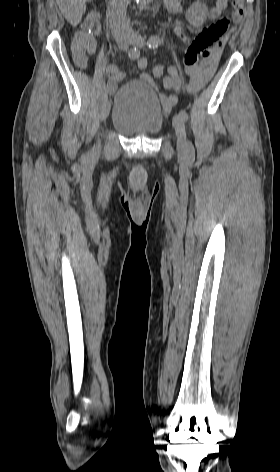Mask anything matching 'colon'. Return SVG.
Returning <instances> with one entry per match:
<instances>
[{"label":"colon","instance_id":"5ec220e1","mask_svg":"<svg viewBox=\"0 0 280 472\" xmlns=\"http://www.w3.org/2000/svg\"><path fill=\"white\" fill-rule=\"evenodd\" d=\"M245 0H232V9L230 16H224L215 23L204 28L193 40L188 44L184 62L185 65L194 66L198 64L199 58L210 57L217 48L225 45L223 38L233 22L238 24L243 18ZM84 28L88 33L95 34L98 32V26L95 22L90 21L84 24ZM78 65H82V59L75 60ZM165 69L161 65L153 68L152 76L155 79L164 76Z\"/></svg>","mask_w":280,"mask_h":472}]
</instances>
